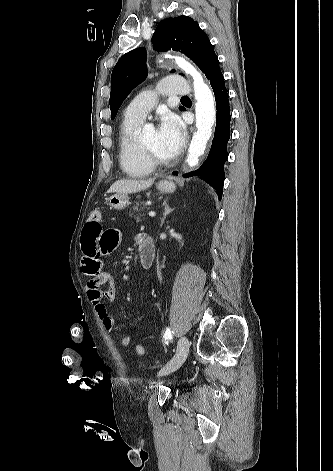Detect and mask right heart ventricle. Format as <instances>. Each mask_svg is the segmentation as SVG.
I'll use <instances>...</instances> for the list:
<instances>
[{
    "mask_svg": "<svg viewBox=\"0 0 333 471\" xmlns=\"http://www.w3.org/2000/svg\"><path fill=\"white\" fill-rule=\"evenodd\" d=\"M142 120L124 117L118 137L119 163L123 172L134 178L150 175L154 165L145 156L140 141L136 137V130Z\"/></svg>",
    "mask_w": 333,
    "mask_h": 471,
    "instance_id": "obj_1",
    "label": "right heart ventricle"
}]
</instances>
